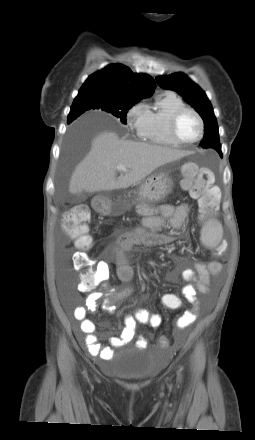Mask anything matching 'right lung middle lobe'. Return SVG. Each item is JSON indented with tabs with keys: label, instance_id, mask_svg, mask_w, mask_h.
<instances>
[{
	"label": "right lung middle lobe",
	"instance_id": "1",
	"mask_svg": "<svg viewBox=\"0 0 255 440\" xmlns=\"http://www.w3.org/2000/svg\"><path fill=\"white\" fill-rule=\"evenodd\" d=\"M135 103L137 102L111 99L96 94H78L72 104L68 119L71 117L76 119L87 110L97 109L114 115L119 118L122 123L126 124L127 111Z\"/></svg>",
	"mask_w": 255,
	"mask_h": 440
}]
</instances>
